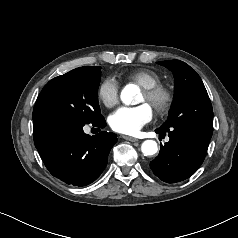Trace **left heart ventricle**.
Masks as SVG:
<instances>
[{"label": "left heart ventricle", "mask_w": 238, "mask_h": 238, "mask_svg": "<svg viewBox=\"0 0 238 238\" xmlns=\"http://www.w3.org/2000/svg\"><path fill=\"white\" fill-rule=\"evenodd\" d=\"M141 101H146L144 94L142 93Z\"/></svg>", "instance_id": "b2bd125f"}]
</instances>
